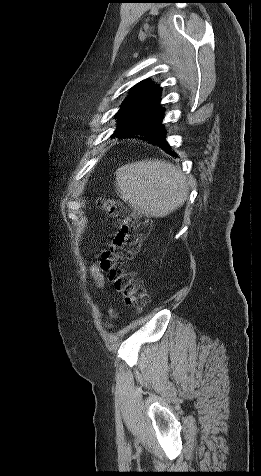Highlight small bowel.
Masks as SVG:
<instances>
[{
    "label": "small bowel",
    "mask_w": 261,
    "mask_h": 476,
    "mask_svg": "<svg viewBox=\"0 0 261 476\" xmlns=\"http://www.w3.org/2000/svg\"><path fill=\"white\" fill-rule=\"evenodd\" d=\"M91 274H92L93 278L95 279L97 285H98L99 287H102V286L104 285V283H105V279H104L103 274H102L101 271L99 270V268L96 267V266H93V267L91 268Z\"/></svg>",
    "instance_id": "small-bowel-1"
}]
</instances>
